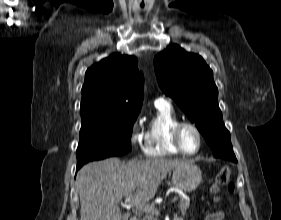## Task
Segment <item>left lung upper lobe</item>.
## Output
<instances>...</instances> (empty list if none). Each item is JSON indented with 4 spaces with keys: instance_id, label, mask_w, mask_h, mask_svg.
<instances>
[{
    "instance_id": "1",
    "label": "left lung upper lobe",
    "mask_w": 281,
    "mask_h": 220,
    "mask_svg": "<svg viewBox=\"0 0 281 220\" xmlns=\"http://www.w3.org/2000/svg\"><path fill=\"white\" fill-rule=\"evenodd\" d=\"M154 66L160 88L196 124L214 157L237 162L218 106L213 72L203 58L172 44L154 58Z\"/></svg>"
}]
</instances>
